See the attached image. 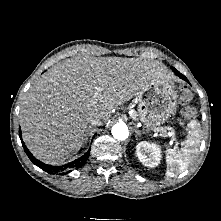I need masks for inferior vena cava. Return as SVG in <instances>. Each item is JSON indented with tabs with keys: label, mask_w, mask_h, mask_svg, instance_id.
<instances>
[{
	"label": "inferior vena cava",
	"mask_w": 221,
	"mask_h": 221,
	"mask_svg": "<svg viewBox=\"0 0 221 221\" xmlns=\"http://www.w3.org/2000/svg\"><path fill=\"white\" fill-rule=\"evenodd\" d=\"M89 123L92 125V126H99L102 124V121L101 119L95 117V118H92Z\"/></svg>",
	"instance_id": "1"
}]
</instances>
